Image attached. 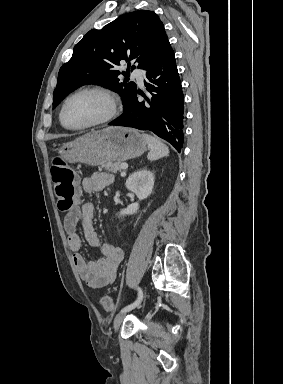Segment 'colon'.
<instances>
[{"mask_svg": "<svg viewBox=\"0 0 283 384\" xmlns=\"http://www.w3.org/2000/svg\"><path fill=\"white\" fill-rule=\"evenodd\" d=\"M51 174L55 185L58 208L62 212H69L73 209L78 195L75 174L60 158L53 160ZM100 304L105 311L114 309L113 300L109 296H103Z\"/></svg>", "mask_w": 283, "mask_h": 384, "instance_id": "colon-1", "label": "colon"}]
</instances>
